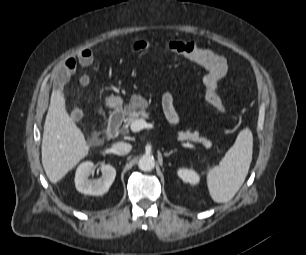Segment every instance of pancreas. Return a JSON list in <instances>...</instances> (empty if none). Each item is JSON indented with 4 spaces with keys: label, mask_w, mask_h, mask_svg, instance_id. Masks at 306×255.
<instances>
[{
    "label": "pancreas",
    "mask_w": 306,
    "mask_h": 255,
    "mask_svg": "<svg viewBox=\"0 0 306 255\" xmlns=\"http://www.w3.org/2000/svg\"><path fill=\"white\" fill-rule=\"evenodd\" d=\"M147 107V102L145 100H142L141 103H137L135 101H132L131 104H129L128 106H126V108L124 109V114H125V118H124V127H123V131L127 132L128 127L130 126V124L139 118H147L148 117V113L146 112L145 108ZM178 135V140L180 141H193V142H202L205 144L206 147H210L211 146V142H204L203 139L204 138H200L199 137V133L197 131L195 132H190V130L187 131H179L177 133ZM206 140V139H205Z\"/></svg>",
    "instance_id": "obj_1"
}]
</instances>
